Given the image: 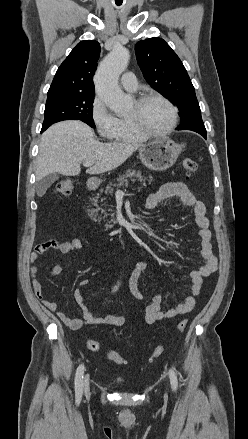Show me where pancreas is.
<instances>
[{
	"label": "pancreas",
	"instance_id": "pancreas-1",
	"mask_svg": "<svg viewBox=\"0 0 248 439\" xmlns=\"http://www.w3.org/2000/svg\"><path fill=\"white\" fill-rule=\"evenodd\" d=\"M133 178V179H132ZM149 183L152 181V177H149ZM135 180L138 179L140 182H143V185L146 186L145 181L147 180V178L145 176H142L140 172H136L133 169H129L125 172V174L119 176L117 178V182L118 183H110L109 185L106 186L104 193H113V187H118V186H122L124 183H127V180ZM111 222H114L113 220L109 221L108 223L105 224L106 228H111L113 225L111 224ZM115 223V222H114Z\"/></svg>",
	"mask_w": 248,
	"mask_h": 439
}]
</instances>
